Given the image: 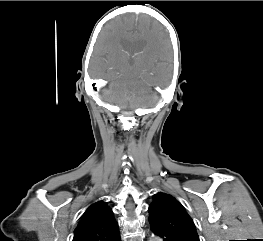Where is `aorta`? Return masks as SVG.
I'll return each mask as SVG.
<instances>
[{"label":"aorta","instance_id":"aorta-1","mask_svg":"<svg viewBox=\"0 0 263 241\" xmlns=\"http://www.w3.org/2000/svg\"><path fill=\"white\" fill-rule=\"evenodd\" d=\"M150 241H161V239L158 238V237H152V238L150 239Z\"/></svg>","mask_w":263,"mask_h":241}]
</instances>
